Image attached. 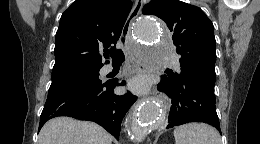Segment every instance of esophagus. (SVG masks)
Instances as JSON below:
<instances>
[{"instance_id": "esophagus-1", "label": "esophagus", "mask_w": 260, "mask_h": 144, "mask_svg": "<svg viewBox=\"0 0 260 144\" xmlns=\"http://www.w3.org/2000/svg\"><path fill=\"white\" fill-rule=\"evenodd\" d=\"M142 7H143V0H136L135 4H134L125 24H124L123 30H122V34H121V38H120L122 45L126 44V38L130 34L131 25L135 21V19L139 16V14L141 13ZM135 70L140 74H148L149 73V68L144 63L135 64ZM153 95L159 96V92L157 90H155L153 92Z\"/></svg>"}]
</instances>
